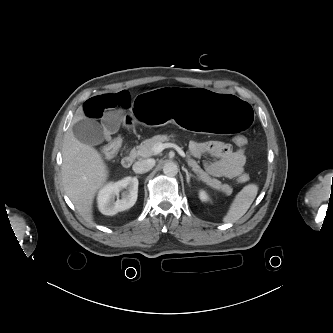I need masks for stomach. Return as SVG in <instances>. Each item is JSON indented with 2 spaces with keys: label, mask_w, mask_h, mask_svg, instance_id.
<instances>
[{
  "label": "stomach",
  "mask_w": 333,
  "mask_h": 333,
  "mask_svg": "<svg viewBox=\"0 0 333 333\" xmlns=\"http://www.w3.org/2000/svg\"><path fill=\"white\" fill-rule=\"evenodd\" d=\"M130 120L146 126L172 122L179 128L218 136L237 135L254 120L251 105L237 97L192 90L186 86L138 94Z\"/></svg>",
  "instance_id": "0dacf381"
}]
</instances>
